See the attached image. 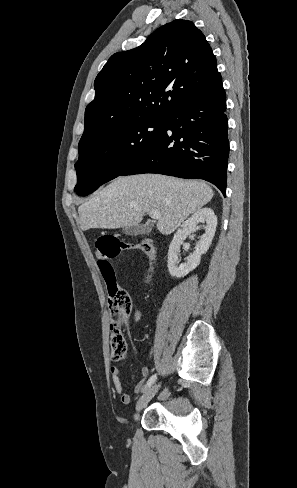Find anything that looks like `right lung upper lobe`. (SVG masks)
<instances>
[{"instance_id":"1","label":"right lung upper lobe","mask_w":297,"mask_h":488,"mask_svg":"<svg viewBox=\"0 0 297 488\" xmlns=\"http://www.w3.org/2000/svg\"><path fill=\"white\" fill-rule=\"evenodd\" d=\"M220 80L203 33L191 21L174 20L139 47L109 58L95 79L81 139L95 140L145 118H167Z\"/></svg>"}]
</instances>
